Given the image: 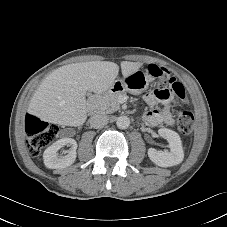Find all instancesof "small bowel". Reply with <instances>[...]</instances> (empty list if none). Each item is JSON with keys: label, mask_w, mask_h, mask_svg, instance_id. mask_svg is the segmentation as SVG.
I'll list each match as a JSON object with an SVG mask.
<instances>
[{"label": "small bowel", "mask_w": 227, "mask_h": 227, "mask_svg": "<svg viewBox=\"0 0 227 227\" xmlns=\"http://www.w3.org/2000/svg\"><path fill=\"white\" fill-rule=\"evenodd\" d=\"M145 102L151 109L143 115L146 124L156 126L162 123L173 125L174 119L170 112L173 104L174 93L171 90L150 92L144 96ZM157 104H162L163 108L158 109Z\"/></svg>", "instance_id": "c3829d8e"}]
</instances>
